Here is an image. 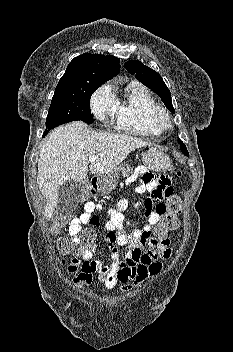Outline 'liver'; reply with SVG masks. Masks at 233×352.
<instances>
[{
  "instance_id": "liver-1",
  "label": "liver",
  "mask_w": 233,
  "mask_h": 352,
  "mask_svg": "<svg viewBox=\"0 0 233 352\" xmlns=\"http://www.w3.org/2000/svg\"><path fill=\"white\" fill-rule=\"evenodd\" d=\"M142 139L119 134L98 133L80 121L53 130L42 145L37 183L46 198V218L50 219L58 201V189L66 181H83L88 171L108 174L135 149L147 146ZM96 156L94 162L88 161Z\"/></svg>"
}]
</instances>
